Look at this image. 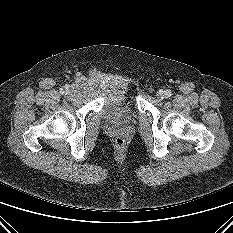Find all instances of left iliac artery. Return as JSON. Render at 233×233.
Masks as SVG:
<instances>
[{
    "label": "left iliac artery",
    "instance_id": "44dca946",
    "mask_svg": "<svg viewBox=\"0 0 233 233\" xmlns=\"http://www.w3.org/2000/svg\"><path fill=\"white\" fill-rule=\"evenodd\" d=\"M166 97H170L172 95V92L170 90L165 91Z\"/></svg>",
    "mask_w": 233,
    "mask_h": 233
}]
</instances>
